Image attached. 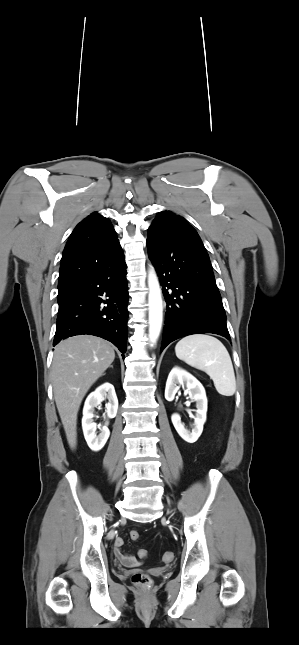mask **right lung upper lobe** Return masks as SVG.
I'll return each instance as SVG.
<instances>
[{"label": "right lung upper lobe", "mask_w": 299, "mask_h": 645, "mask_svg": "<svg viewBox=\"0 0 299 645\" xmlns=\"http://www.w3.org/2000/svg\"><path fill=\"white\" fill-rule=\"evenodd\" d=\"M124 256L110 221L91 213L71 233L64 248L58 289L62 291L86 274L109 266Z\"/></svg>", "instance_id": "right-lung-upper-lobe-1"}]
</instances>
